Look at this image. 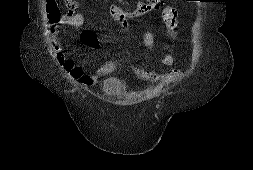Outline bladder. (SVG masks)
<instances>
[{
    "label": "bladder",
    "instance_id": "31cf9c89",
    "mask_svg": "<svg viewBox=\"0 0 253 170\" xmlns=\"http://www.w3.org/2000/svg\"><path fill=\"white\" fill-rule=\"evenodd\" d=\"M102 89L110 96H117L123 90V82L119 77L111 76L104 80Z\"/></svg>",
    "mask_w": 253,
    "mask_h": 170
}]
</instances>
